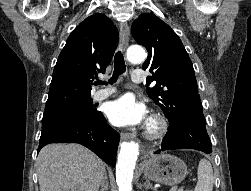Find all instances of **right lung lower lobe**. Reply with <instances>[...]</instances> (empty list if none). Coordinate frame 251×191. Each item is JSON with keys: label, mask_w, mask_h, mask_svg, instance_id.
Wrapping results in <instances>:
<instances>
[{"label": "right lung lower lobe", "mask_w": 251, "mask_h": 191, "mask_svg": "<svg viewBox=\"0 0 251 191\" xmlns=\"http://www.w3.org/2000/svg\"><path fill=\"white\" fill-rule=\"evenodd\" d=\"M119 134L106 124L101 114L94 120L69 118L42 128L37 153L50 143H79L115 167Z\"/></svg>", "instance_id": "right-lung-lower-lobe-1"}]
</instances>
